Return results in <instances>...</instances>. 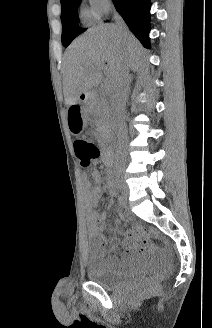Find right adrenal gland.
<instances>
[{
    "mask_svg": "<svg viewBox=\"0 0 212 328\" xmlns=\"http://www.w3.org/2000/svg\"><path fill=\"white\" fill-rule=\"evenodd\" d=\"M132 81V79H130V82ZM129 92H130V89H129Z\"/></svg>",
    "mask_w": 212,
    "mask_h": 328,
    "instance_id": "2a0ac1e0",
    "label": "right adrenal gland"
}]
</instances>
